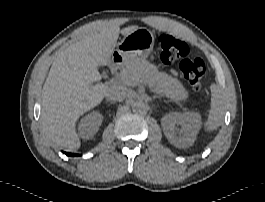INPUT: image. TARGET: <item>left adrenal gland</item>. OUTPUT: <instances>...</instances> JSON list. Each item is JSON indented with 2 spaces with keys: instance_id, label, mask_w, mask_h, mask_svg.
<instances>
[{
  "instance_id": "obj_1",
  "label": "left adrenal gland",
  "mask_w": 265,
  "mask_h": 202,
  "mask_svg": "<svg viewBox=\"0 0 265 202\" xmlns=\"http://www.w3.org/2000/svg\"><path fill=\"white\" fill-rule=\"evenodd\" d=\"M153 98H154V99H160V97H159V96H154Z\"/></svg>"
}]
</instances>
